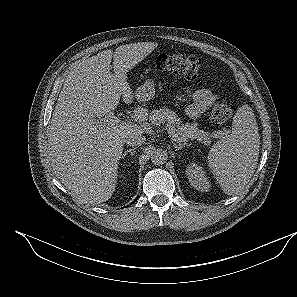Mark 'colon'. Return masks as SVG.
Here are the masks:
<instances>
[{"label": "colon", "instance_id": "colon-1", "mask_svg": "<svg viewBox=\"0 0 297 297\" xmlns=\"http://www.w3.org/2000/svg\"><path fill=\"white\" fill-rule=\"evenodd\" d=\"M156 67L161 71L183 76L187 79H196L200 75L201 62L196 56L167 53L157 58ZM232 113V104L226 99H220L212 109L211 123L214 126H221L231 118Z\"/></svg>", "mask_w": 297, "mask_h": 297}]
</instances>
